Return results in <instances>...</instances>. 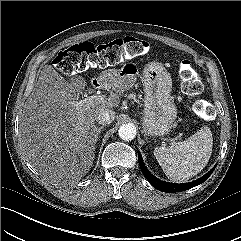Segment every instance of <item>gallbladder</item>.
<instances>
[{"mask_svg": "<svg viewBox=\"0 0 241 241\" xmlns=\"http://www.w3.org/2000/svg\"><path fill=\"white\" fill-rule=\"evenodd\" d=\"M73 82L77 84V90L81 91L85 87V80L82 77H74Z\"/></svg>", "mask_w": 241, "mask_h": 241, "instance_id": "1", "label": "gallbladder"}]
</instances>
